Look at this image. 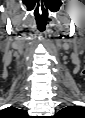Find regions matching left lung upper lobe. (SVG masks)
Listing matches in <instances>:
<instances>
[{
  "label": "left lung upper lobe",
  "mask_w": 85,
  "mask_h": 118,
  "mask_svg": "<svg viewBox=\"0 0 85 118\" xmlns=\"http://www.w3.org/2000/svg\"><path fill=\"white\" fill-rule=\"evenodd\" d=\"M75 107H66V108H63L62 110H60L58 112L59 115H66V114H70L72 110H74Z\"/></svg>",
  "instance_id": "obj_1"
}]
</instances>
